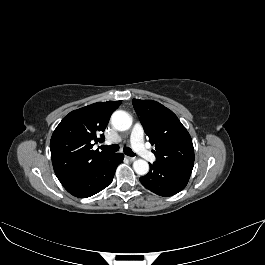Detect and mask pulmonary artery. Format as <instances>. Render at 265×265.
Masks as SVG:
<instances>
[{
	"instance_id": "obj_1",
	"label": "pulmonary artery",
	"mask_w": 265,
	"mask_h": 265,
	"mask_svg": "<svg viewBox=\"0 0 265 265\" xmlns=\"http://www.w3.org/2000/svg\"><path fill=\"white\" fill-rule=\"evenodd\" d=\"M144 131L139 123H135L130 132V143L134 151H136L141 157L147 161L154 162L156 157L154 154L144 145Z\"/></svg>"
}]
</instances>
